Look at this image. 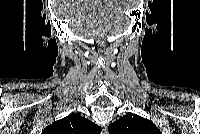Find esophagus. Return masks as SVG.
Listing matches in <instances>:
<instances>
[{
    "label": "esophagus",
    "mask_w": 200,
    "mask_h": 134,
    "mask_svg": "<svg viewBox=\"0 0 200 134\" xmlns=\"http://www.w3.org/2000/svg\"><path fill=\"white\" fill-rule=\"evenodd\" d=\"M107 133H108L107 128H106V127L103 128V129H102V134H107Z\"/></svg>",
    "instance_id": "esophagus-1"
}]
</instances>
